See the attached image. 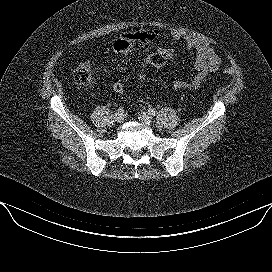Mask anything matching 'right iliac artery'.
<instances>
[{
	"label": "right iliac artery",
	"mask_w": 272,
	"mask_h": 272,
	"mask_svg": "<svg viewBox=\"0 0 272 272\" xmlns=\"http://www.w3.org/2000/svg\"><path fill=\"white\" fill-rule=\"evenodd\" d=\"M124 112V110L122 109V108H119L118 110H117V113H119V114H122Z\"/></svg>",
	"instance_id": "1"
}]
</instances>
